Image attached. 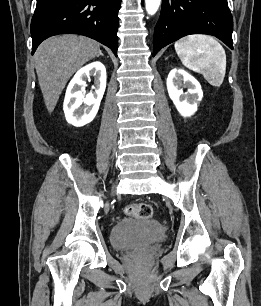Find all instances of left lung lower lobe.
Listing matches in <instances>:
<instances>
[{"label": "left lung lower lobe", "instance_id": "1", "mask_svg": "<svg viewBox=\"0 0 261 306\" xmlns=\"http://www.w3.org/2000/svg\"><path fill=\"white\" fill-rule=\"evenodd\" d=\"M233 18L227 0H163L154 30L153 56L164 46L189 34H209L230 49Z\"/></svg>", "mask_w": 261, "mask_h": 306}]
</instances>
